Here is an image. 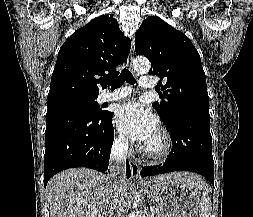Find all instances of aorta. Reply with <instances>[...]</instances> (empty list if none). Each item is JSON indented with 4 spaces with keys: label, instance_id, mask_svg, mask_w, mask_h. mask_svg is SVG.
Returning <instances> with one entry per match:
<instances>
[{
    "label": "aorta",
    "instance_id": "aorta-1",
    "mask_svg": "<svg viewBox=\"0 0 253 217\" xmlns=\"http://www.w3.org/2000/svg\"><path fill=\"white\" fill-rule=\"evenodd\" d=\"M134 70L138 73H146L150 69V62L145 58L136 59L133 62ZM129 217H136L134 213L129 214Z\"/></svg>",
    "mask_w": 253,
    "mask_h": 217
}]
</instances>
